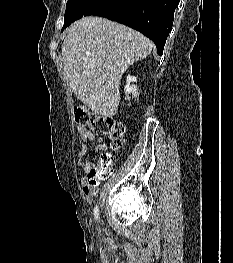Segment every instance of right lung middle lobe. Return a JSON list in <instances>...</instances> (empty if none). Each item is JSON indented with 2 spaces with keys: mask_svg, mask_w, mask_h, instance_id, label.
<instances>
[{
  "mask_svg": "<svg viewBox=\"0 0 233 263\" xmlns=\"http://www.w3.org/2000/svg\"><path fill=\"white\" fill-rule=\"evenodd\" d=\"M122 0H68L66 5L64 28L83 16H103L112 13Z\"/></svg>",
  "mask_w": 233,
  "mask_h": 263,
  "instance_id": "1",
  "label": "right lung middle lobe"
}]
</instances>
